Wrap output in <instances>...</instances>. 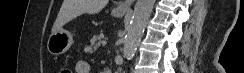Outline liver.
<instances>
[{"label": "liver", "instance_id": "liver-1", "mask_svg": "<svg viewBox=\"0 0 244 73\" xmlns=\"http://www.w3.org/2000/svg\"><path fill=\"white\" fill-rule=\"evenodd\" d=\"M107 4L108 0H64L51 33L59 31L66 23L82 14L99 13Z\"/></svg>", "mask_w": 244, "mask_h": 73}]
</instances>
